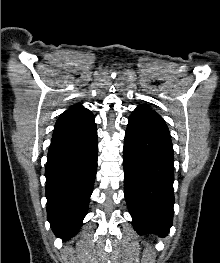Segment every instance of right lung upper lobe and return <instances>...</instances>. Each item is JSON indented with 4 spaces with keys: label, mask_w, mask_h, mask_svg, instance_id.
I'll list each match as a JSON object with an SVG mask.
<instances>
[{
    "label": "right lung upper lobe",
    "mask_w": 220,
    "mask_h": 263,
    "mask_svg": "<svg viewBox=\"0 0 220 263\" xmlns=\"http://www.w3.org/2000/svg\"><path fill=\"white\" fill-rule=\"evenodd\" d=\"M94 115L80 104L63 112L58 118L54 133L64 136L87 134L95 127Z\"/></svg>",
    "instance_id": "1"
}]
</instances>
